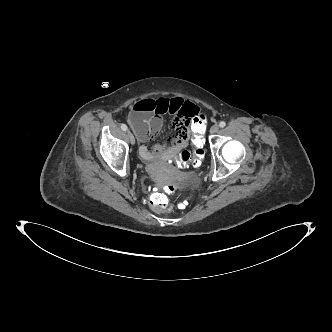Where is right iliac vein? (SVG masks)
I'll return each mask as SVG.
<instances>
[{"instance_id":"obj_1","label":"right iliac vein","mask_w":332,"mask_h":332,"mask_svg":"<svg viewBox=\"0 0 332 332\" xmlns=\"http://www.w3.org/2000/svg\"><path fill=\"white\" fill-rule=\"evenodd\" d=\"M127 137H128V139H129V141H130V143L132 144V145H134L135 144V138H134V135L132 134V132L131 131H127Z\"/></svg>"}]
</instances>
